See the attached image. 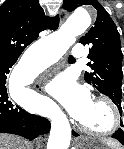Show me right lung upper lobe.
I'll return each mask as SVG.
<instances>
[{
  "label": "right lung upper lobe",
  "mask_w": 124,
  "mask_h": 149,
  "mask_svg": "<svg viewBox=\"0 0 124 149\" xmlns=\"http://www.w3.org/2000/svg\"><path fill=\"white\" fill-rule=\"evenodd\" d=\"M58 26L59 16H45L39 0H6L0 6V60L18 58L40 32Z\"/></svg>",
  "instance_id": "obj_1"
}]
</instances>
